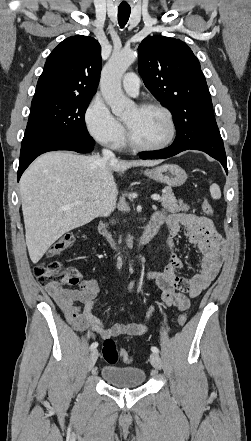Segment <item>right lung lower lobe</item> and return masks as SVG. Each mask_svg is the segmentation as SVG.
Masks as SVG:
<instances>
[{"mask_svg":"<svg viewBox=\"0 0 251 441\" xmlns=\"http://www.w3.org/2000/svg\"><path fill=\"white\" fill-rule=\"evenodd\" d=\"M95 142L92 137H73L40 126H27L21 144L17 180L29 164L39 155L55 150H71L79 153L91 152Z\"/></svg>","mask_w":251,"mask_h":441,"instance_id":"obj_1","label":"right lung lower lobe"}]
</instances>
